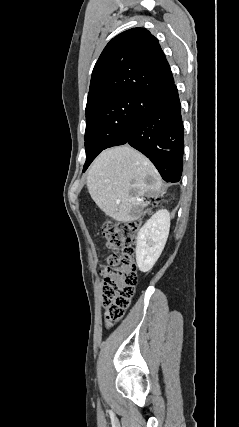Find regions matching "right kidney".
<instances>
[{
	"label": "right kidney",
	"instance_id": "obj_1",
	"mask_svg": "<svg viewBox=\"0 0 239 427\" xmlns=\"http://www.w3.org/2000/svg\"><path fill=\"white\" fill-rule=\"evenodd\" d=\"M170 230V214L157 211L140 229L136 244V262L140 271L148 272L160 257Z\"/></svg>",
	"mask_w": 239,
	"mask_h": 427
}]
</instances>
